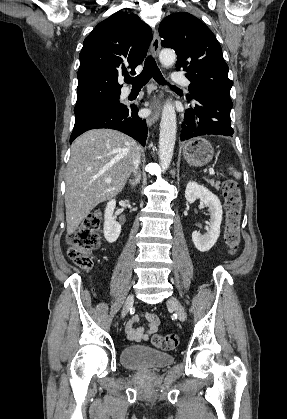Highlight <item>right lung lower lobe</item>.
I'll return each mask as SVG.
<instances>
[{"label":"right lung lower lobe","instance_id":"1","mask_svg":"<svg viewBox=\"0 0 287 419\" xmlns=\"http://www.w3.org/2000/svg\"><path fill=\"white\" fill-rule=\"evenodd\" d=\"M137 113L138 108L135 105L92 112L75 121L70 143L85 131L97 128H110L133 137L145 146L148 131L147 124L145 120L138 117Z\"/></svg>","mask_w":287,"mask_h":419}]
</instances>
